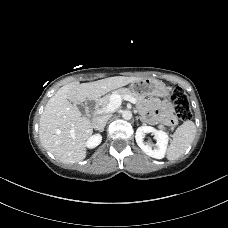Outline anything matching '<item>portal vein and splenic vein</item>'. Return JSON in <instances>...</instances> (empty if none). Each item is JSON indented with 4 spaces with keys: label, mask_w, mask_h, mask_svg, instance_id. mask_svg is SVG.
Instances as JSON below:
<instances>
[{
    "label": "portal vein and splenic vein",
    "mask_w": 228,
    "mask_h": 228,
    "mask_svg": "<svg viewBox=\"0 0 228 228\" xmlns=\"http://www.w3.org/2000/svg\"><path fill=\"white\" fill-rule=\"evenodd\" d=\"M122 100H127L133 104L137 102L136 99L130 95H125L123 97L120 95H112L109 104L102 109H98L96 114L114 112L121 105Z\"/></svg>",
    "instance_id": "obj_1"
}]
</instances>
